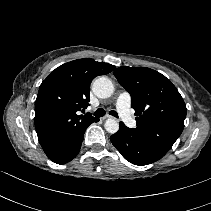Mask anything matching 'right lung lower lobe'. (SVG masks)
<instances>
[{"instance_id":"98d812e1","label":"right lung lower lobe","mask_w":211,"mask_h":211,"mask_svg":"<svg viewBox=\"0 0 211 211\" xmlns=\"http://www.w3.org/2000/svg\"><path fill=\"white\" fill-rule=\"evenodd\" d=\"M97 119L95 122H98ZM88 126V125H87ZM87 126L76 130L59 148L46 153L48 158L57 164L70 162L80 151Z\"/></svg>"}]
</instances>
